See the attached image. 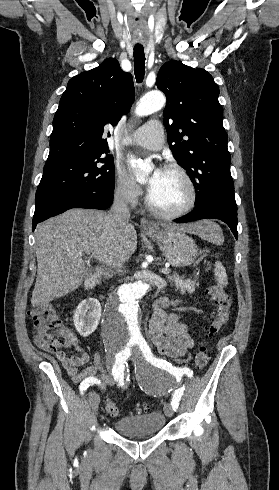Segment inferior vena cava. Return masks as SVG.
I'll list each match as a JSON object with an SVG mask.
<instances>
[{"label":"inferior vena cava","mask_w":279,"mask_h":490,"mask_svg":"<svg viewBox=\"0 0 279 490\" xmlns=\"http://www.w3.org/2000/svg\"><path fill=\"white\" fill-rule=\"evenodd\" d=\"M128 194L126 190L118 192L114 198L113 206L109 212L113 224L128 226L130 212L127 206Z\"/></svg>","instance_id":"inferior-vena-cava-1"}]
</instances>
